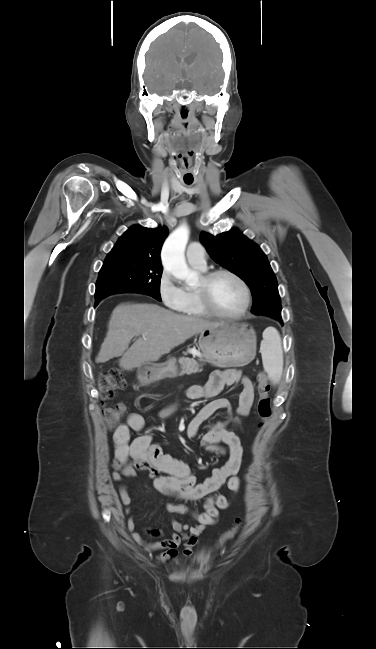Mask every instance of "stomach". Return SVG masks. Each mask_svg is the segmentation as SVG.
Wrapping results in <instances>:
<instances>
[{
    "instance_id": "0dacf381",
    "label": "stomach",
    "mask_w": 376,
    "mask_h": 649,
    "mask_svg": "<svg viewBox=\"0 0 376 649\" xmlns=\"http://www.w3.org/2000/svg\"><path fill=\"white\" fill-rule=\"evenodd\" d=\"M198 343L205 360L220 368L244 366L251 362L256 354V333L246 323L222 324L216 328L205 329L200 332ZM177 375L178 362L175 357L165 364L144 365L138 370V378L143 384Z\"/></svg>"
}]
</instances>
